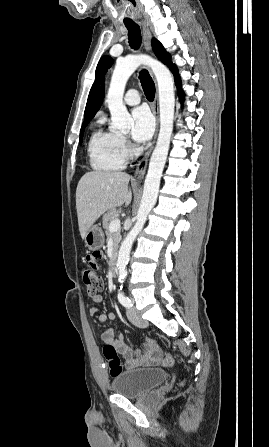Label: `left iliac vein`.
<instances>
[{
	"instance_id": "1",
	"label": "left iliac vein",
	"mask_w": 269,
	"mask_h": 447,
	"mask_svg": "<svg viewBox=\"0 0 269 447\" xmlns=\"http://www.w3.org/2000/svg\"><path fill=\"white\" fill-rule=\"evenodd\" d=\"M127 317L129 321L137 327H147V322L142 317H140L137 313V310L134 307L127 308Z\"/></svg>"
}]
</instances>
